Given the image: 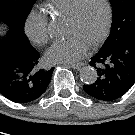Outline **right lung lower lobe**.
I'll return each mask as SVG.
<instances>
[{"instance_id": "1", "label": "right lung lower lobe", "mask_w": 135, "mask_h": 135, "mask_svg": "<svg viewBox=\"0 0 135 135\" xmlns=\"http://www.w3.org/2000/svg\"><path fill=\"white\" fill-rule=\"evenodd\" d=\"M39 53L27 38L9 29L0 36V93L15 103H29L45 91L54 68H37Z\"/></svg>"}]
</instances>
